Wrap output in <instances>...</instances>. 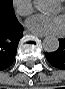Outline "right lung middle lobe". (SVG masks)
I'll list each match as a JSON object with an SVG mask.
<instances>
[{"label":"right lung middle lobe","mask_w":65,"mask_h":89,"mask_svg":"<svg viewBox=\"0 0 65 89\" xmlns=\"http://www.w3.org/2000/svg\"><path fill=\"white\" fill-rule=\"evenodd\" d=\"M0 18L16 19L13 10V0H0Z\"/></svg>","instance_id":"1"}]
</instances>
